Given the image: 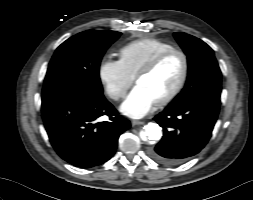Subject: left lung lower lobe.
<instances>
[{
    "label": "left lung lower lobe",
    "instance_id": "obj_1",
    "mask_svg": "<svg viewBox=\"0 0 253 200\" xmlns=\"http://www.w3.org/2000/svg\"><path fill=\"white\" fill-rule=\"evenodd\" d=\"M220 98L204 96L183 105H168L154 120L163 128L161 141L149 151L152 159L177 165L197 154L211 137Z\"/></svg>",
    "mask_w": 253,
    "mask_h": 200
}]
</instances>
